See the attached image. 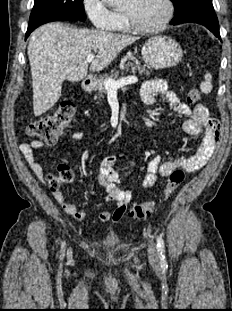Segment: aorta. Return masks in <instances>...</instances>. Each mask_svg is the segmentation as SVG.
Instances as JSON below:
<instances>
[{
    "label": "aorta",
    "instance_id": "obj_1",
    "mask_svg": "<svg viewBox=\"0 0 232 311\" xmlns=\"http://www.w3.org/2000/svg\"><path fill=\"white\" fill-rule=\"evenodd\" d=\"M105 3L108 5H116L118 4L121 0H103Z\"/></svg>",
    "mask_w": 232,
    "mask_h": 311
}]
</instances>
